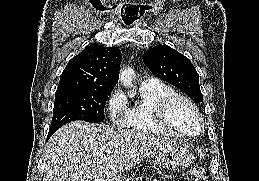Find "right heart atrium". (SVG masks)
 <instances>
[{
    "instance_id": "obj_1",
    "label": "right heart atrium",
    "mask_w": 259,
    "mask_h": 181,
    "mask_svg": "<svg viewBox=\"0 0 259 181\" xmlns=\"http://www.w3.org/2000/svg\"><path fill=\"white\" fill-rule=\"evenodd\" d=\"M107 112L111 122L118 127L126 125L128 115V104L124 94L115 90L107 100Z\"/></svg>"
}]
</instances>
